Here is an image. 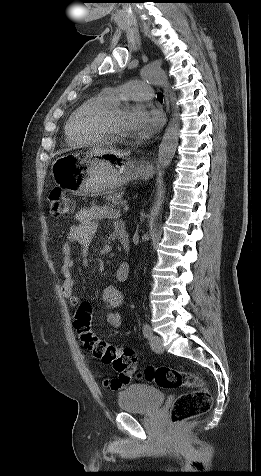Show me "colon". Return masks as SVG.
I'll list each match as a JSON object with an SVG mask.
<instances>
[{
    "mask_svg": "<svg viewBox=\"0 0 261 476\" xmlns=\"http://www.w3.org/2000/svg\"><path fill=\"white\" fill-rule=\"evenodd\" d=\"M50 214L54 218H62L73 210L71 200L61 188H54L48 195ZM92 309L90 305H81L74 320V326L84 347L96 358L110 364L118 372V376L108 379L106 384L113 390H120L130 384L137 367V355L131 348L117 346L99 337L91 327ZM148 381L164 389L192 387L191 391L179 395L171 410L173 424L182 423L207 412L212 405V395L205 386L203 379L195 373L177 370L166 366L148 367L144 371Z\"/></svg>",
    "mask_w": 261,
    "mask_h": 476,
    "instance_id": "colon-1",
    "label": "colon"
}]
</instances>
